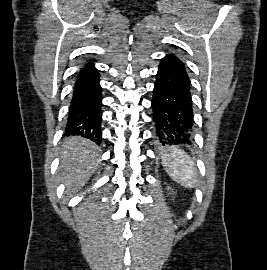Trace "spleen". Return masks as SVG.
<instances>
[{
  "label": "spleen",
  "instance_id": "3e777b00",
  "mask_svg": "<svg viewBox=\"0 0 267 270\" xmlns=\"http://www.w3.org/2000/svg\"><path fill=\"white\" fill-rule=\"evenodd\" d=\"M163 164L169 176L187 188H193L196 183V172L193 161L182 150L173 147L162 156Z\"/></svg>",
  "mask_w": 267,
  "mask_h": 270
}]
</instances>
